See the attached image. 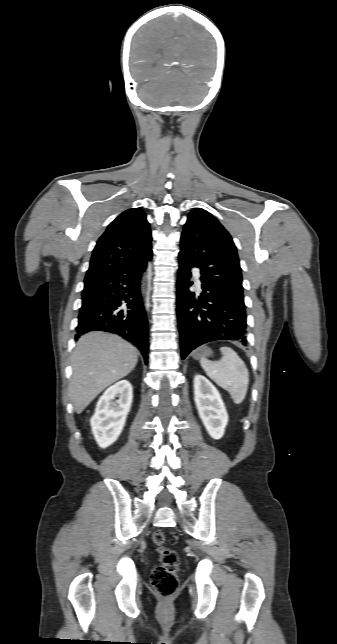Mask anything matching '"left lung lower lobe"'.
<instances>
[{"mask_svg": "<svg viewBox=\"0 0 337 644\" xmlns=\"http://www.w3.org/2000/svg\"><path fill=\"white\" fill-rule=\"evenodd\" d=\"M194 267L179 259L177 279V318L180 332L181 357L196 347L216 340L247 344L245 305L201 276L203 291L199 296L189 291L190 269Z\"/></svg>", "mask_w": 337, "mask_h": 644, "instance_id": "1", "label": "left lung lower lobe"}]
</instances>
